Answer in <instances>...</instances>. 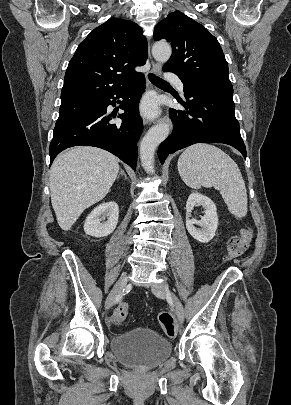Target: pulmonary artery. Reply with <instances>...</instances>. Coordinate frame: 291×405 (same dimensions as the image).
Segmentation results:
<instances>
[{
    "mask_svg": "<svg viewBox=\"0 0 291 405\" xmlns=\"http://www.w3.org/2000/svg\"><path fill=\"white\" fill-rule=\"evenodd\" d=\"M164 77H165V79H167L168 81L173 82V83L176 85L177 89H178L181 93H184V85H183L182 81L179 79L178 76H176V75L173 74V73H165V74H164Z\"/></svg>",
    "mask_w": 291,
    "mask_h": 405,
    "instance_id": "obj_1",
    "label": "pulmonary artery"
}]
</instances>
